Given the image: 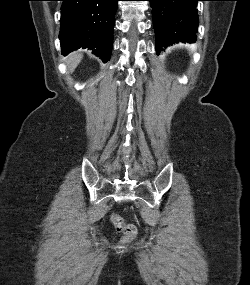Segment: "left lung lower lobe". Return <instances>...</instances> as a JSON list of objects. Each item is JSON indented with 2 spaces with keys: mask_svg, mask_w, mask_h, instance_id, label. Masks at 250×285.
Masks as SVG:
<instances>
[{
  "mask_svg": "<svg viewBox=\"0 0 250 285\" xmlns=\"http://www.w3.org/2000/svg\"><path fill=\"white\" fill-rule=\"evenodd\" d=\"M152 7L157 54L162 47L179 42L194 43L199 24L197 2L201 0H148Z\"/></svg>",
  "mask_w": 250,
  "mask_h": 285,
  "instance_id": "0a47b994",
  "label": "left lung lower lobe"
}]
</instances>
